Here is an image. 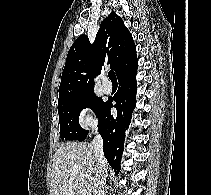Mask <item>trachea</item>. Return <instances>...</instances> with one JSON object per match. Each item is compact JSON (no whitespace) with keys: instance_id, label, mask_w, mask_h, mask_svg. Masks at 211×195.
Listing matches in <instances>:
<instances>
[{"instance_id":"3493384b","label":"trachea","mask_w":211,"mask_h":195,"mask_svg":"<svg viewBox=\"0 0 211 195\" xmlns=\"http://www.w3.org/2000/svg\"><path fill=\"white\" fill-rule=\"evenodd\" d=\"M108 76H109V78L111 79V81L117 80V79H116V76H115V73H114L113 70H110V71L108 72Z\"/></svg>"}]
</instances>
